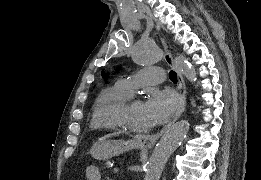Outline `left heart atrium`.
<instances>
[{"label": "left heart atrium", "instance_id": "39dd6f15", "mask_svg": "<svg viewBox=\"0 0 261 180\" xmlns=\"http://www.w3.org/2000/svg\"><path fill=\"white\" fill-rule=\"evenodd\" d=\"M180 97L172 89H154L144 101V108L154 123L170 116L180 107Z\"/></svg>", "mask_w": 261, "mask_h": 180}]
</instances>
